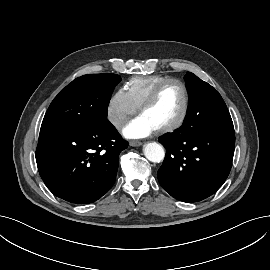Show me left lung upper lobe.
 <instances>
[{
    "label": "left lung upper lobe",
    "instance_id": "obj_1",
    "mask_svg": "<svg viewBox=\"0 0 270 270\" xmlns=\"http://www.w3.org/2000/svg\"><path fill=\"white\" fill-rule=\"evenodd\" d=\"M184 79L189 104L184 124L204 129L234 128L221 95L210 84L188 72Z\"/></svg>",
    "mask_w": 270,
    "mask_h": 270
}]
</instances>
